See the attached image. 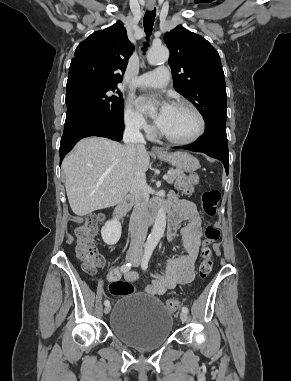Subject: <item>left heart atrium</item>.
<instances>
[{"label":"left heart atrium","mask_w":291,"mask_h":381,"mask_svg":"<svg viewBox=\"0 0 291 381\" xmlns=\"http://www.w3.org/2000/svg\"><path fill=\"white\" fill-rule=\"evenodd\" d=\"M151 102H152V99H150V98H141L140 99L141 109L143 111H147ZM172 109H173V107L169 103L164 102L162 104L161 109H160V111H159V113L155 119V122L159 128L163 125L165 119L167 118V116L169 115V113L171 112Z\"/></svg>","instance_id":"39dd6f15"}]
</instances>
